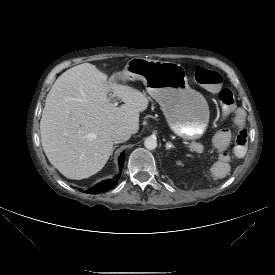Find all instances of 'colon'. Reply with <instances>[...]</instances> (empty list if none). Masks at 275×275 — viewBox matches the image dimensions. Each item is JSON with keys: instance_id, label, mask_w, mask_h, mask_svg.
Here are the masks:
<instances>
[{"instance_id": "colon-1", "label": "colon", "mask_w": 275, "mask_h": 275, "mask_svg": "<svg viewBox=\"0 0 275 275\" xmlns=\"http://www.w3.org/2000/svg\"><path fill=\"white\" fill-rule=\"evenodd\" d=\"M195 80L201 86L210 91H216L222 84V77L215 71L205 68H197L195 71ZM220 103V118H224L234 106V97L231 90L223 88L218 93ZM248 134L245 129L238 130L234 143V151L237 155H243L247 147Z\"/></svg>"}]
</instances>
